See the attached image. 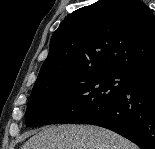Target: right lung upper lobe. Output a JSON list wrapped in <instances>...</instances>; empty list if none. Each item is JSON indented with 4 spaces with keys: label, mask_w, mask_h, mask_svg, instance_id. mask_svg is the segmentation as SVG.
<instances>
[{
    "label": "right lung upper lobe",
    "mask_w": 155,
    "mask_h": 149,
    "mask_svg": "<svg viewBox=\"0 0 155 149\" xmlns=\"http://www.w3.org/2000/svg\"><path fill=\"white\" fill-rule=\"evenodd\" d=\"M155 70V16L141 0H99L67 16L53 33L35 83L74 72Z\"/></svg>",
    "instance_id": "1"
}]
</instances>
